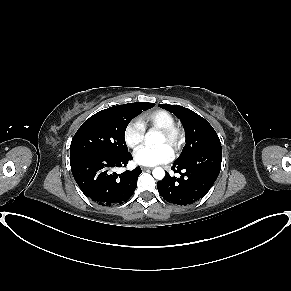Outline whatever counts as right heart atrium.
I'll return each instance as SVG.
<instances>
[{
    "label": "right heart atrium",
    "mask_w": 291,
    "mask_h": 291,
    "mask_svg": "<svg viewBox=\"0 0 291 291\" xmlns=\"http://www.w3.org/2000/svg\"><path fill=\"white\" fill-rule=\"evenodd\" d=\"M145 128L139 120L134 119L127 123L123 131V139L129 148L138 147L144 140Z\"/></svg>",
    "instance_id": "obj_1"
}]
</instances>
